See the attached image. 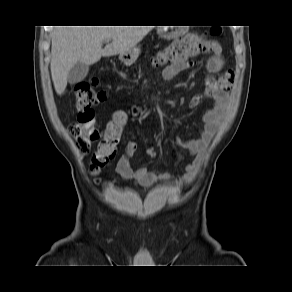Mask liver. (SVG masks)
<instances>
[{
	"label": "liver",
	"mask_w": 292,
	"mask_h": 292,
	"mask_svg": "<svg viewBox=\"0 0 292 292\" xmlns=\"http://www.w3.org/2000/svg\"><path fill=\"white\" fill-rule=\"evenodd\" d=\"M151 26H56L52 33L51 76L62 95L70 69L78 62L92 65L101 57L122 54L134 48ZM112 42L103 49V43Z\"/></svg>",
	"instance_id": "6515ba94"
}]
</instances>
